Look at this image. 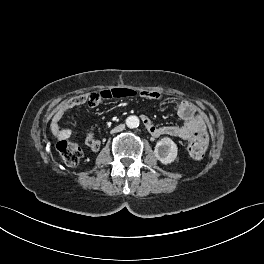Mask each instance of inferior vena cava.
Here are the masks:
<instances>
[{
    "mask_svg": "<svg viewBox=\"0 0 264 264\" xmlns=\"http://www.w3.org/2000/svg\"><path fill=\"white\" fill-rule=\"evenodd\" d=\"M124 129V126L123 125H119V126H117V127H114L113 129H112V132L113 133H117V132H119V131H121V130H123Z\"/></svg>",
    "mask_w": 264,
    "mask_h": 264,
    "instance_id": "602c4592",
    "label": "inferior vena cava"
}]
</instances>
